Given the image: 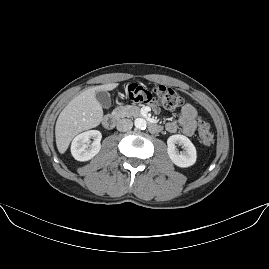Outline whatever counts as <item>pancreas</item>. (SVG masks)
Listing matches in <instances>:
<instances>
[{"mask_svg": "<svg viewBox=\"0 0 269 269\" xmlns=\"http://www.w3.org/2000/svg\"><path fill=\"white\" fill-rule=\"evenodd\" d=\"M140 108L134 105L121 106L113 110L112 115L116 118H123L128 116H138Z\"/></svg>", "mask_w": 269, "mask_h": 269, "instance_id": "cf45deb5", "label": "pancreas"}]
</instances>
